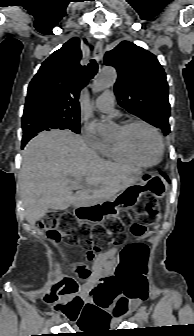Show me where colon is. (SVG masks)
<instances>
[{"mask_svg":"<svg viewBox=\"0 0 194 336\" xmlns=\"http://www.w3.org/2000/svg\"><path fill=\"white\" fill-rule=\"evenodd\" d=\"M143 207L138 219H135L133 214H123V220L134 237L142 236L150 222H154L159 215L158 206L153 200L145 198ZM73 225V219L68 213H50L40 222V228L51 241L58 242L65 238L69 243L81 244L88 249L90 257L103 252L108 242H117L122 238V226L118 224L112 229L111 239L98 227L93 228L90 236H78L73 230ZM145 265L146 250L143 246L131 244L124 248L117 267V279L106 284L117 296V314H123L128 302L143 293L137 286L135 274L142 271ZM78 272L80 277L89 274V270L84 267H79ZM46 302L53 304L70 321H78L85 308L84 301L78 294V282L71 277H64L56 284L47 295Z\"/></svg>","mask_w":194,"mask_h":336,"instance_id":"obj_1","label":"colon"}]
</instances>
